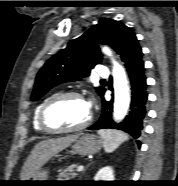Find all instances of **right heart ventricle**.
<instances>
[{"instance_id":"obj_1","label":"right heart ventricle","mask_w":178,"mask_h":186,"mask_svg":"<svg viewBox=\"0 0 178 186\" xmlns=\"http://www.w3.org/2000/svg\"><path fill=\"white\" fill-rule=\"evenodd\" d=\"M46 100H47V99L43 100L42 102H40V103L35 107L34 112H33V116H32L33 127H34V129H35L37 132H40V133H44V131L42 130V128H41L40 125H39L38 116H39L40 108H41V106L43 105V103H44Z\"/></svg>"}]
</instances>
